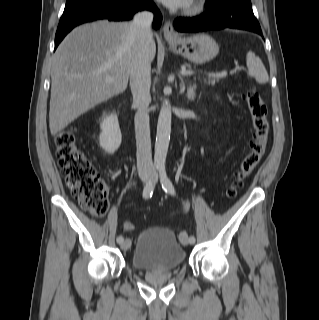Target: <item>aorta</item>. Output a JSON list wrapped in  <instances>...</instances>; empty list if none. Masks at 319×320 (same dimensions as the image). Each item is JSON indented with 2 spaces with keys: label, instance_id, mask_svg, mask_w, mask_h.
I'll return each instance as SVG.
<instances>
[{
  "label": "aorta",
  "instance_id": "762f6f07",
  "mask_svg": "<svg viewBox=\"0 0 319 320\" xmlns=\"http://www.w3.org/2000/svg\"><path fill=\"white\" fill-rule=\"evenodd\" d=\"M171 107L168 100L162 104L156 133L154 163L157 167H164L171 133Z\"/></svg>",
  "mask_w": 319,
  "mask_h": 320
}]
</instances>
